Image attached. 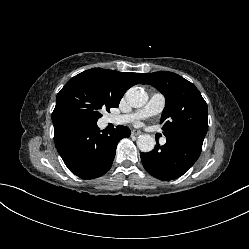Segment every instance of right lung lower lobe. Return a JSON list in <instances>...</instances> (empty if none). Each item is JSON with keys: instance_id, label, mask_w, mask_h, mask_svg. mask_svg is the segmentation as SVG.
I'll use <instances>...</instances> for the list:
<instances>
[{"instance_id": "98d812e1", "label": "right lung lower lobe", "mask_w": 249, "mask_h": 249, "mask_svg": "<svg viewBox=\"0 0 249 249\" xmlns=\"http://www.w3.org/2000/svg\"><path fill=\"white\" fill-rule=\"evenodd\" d=\"M56 148L68 169L82 179L105 174L112 165L118 142L129 137V128L119 125L100 131L91 123L66 112L52 114Z\"/></svg>"}]
</instances>
